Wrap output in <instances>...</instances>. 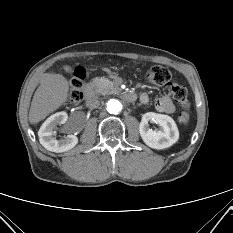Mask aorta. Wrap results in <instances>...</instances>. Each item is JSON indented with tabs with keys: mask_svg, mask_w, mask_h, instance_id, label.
Returning a JSON list of instances; mask_svg holds the SVG:
<instances>
[{
	"mask_svg": "<svg viewBox=\"0 0 233 233\" xmlns=\"http://www.w3.org/2000/svg\"><path fill=\"white\" fill-rule=\"evenodd\" d=\"M122 110V104L116 100L111 99L107 103V111L111 114H118Z\"/></svg>",
	"mask_w": 233,
	"mask_h": 233,
	"instance_id": "1",
	"label": "aorta"
}]
</instances>
